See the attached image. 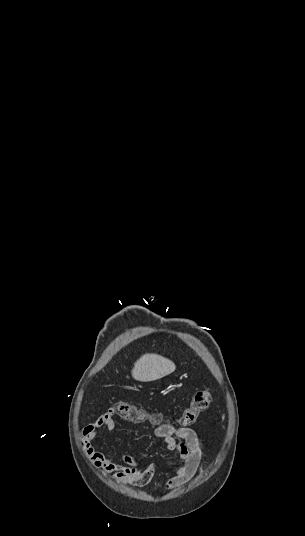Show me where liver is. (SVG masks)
I'll list each match as a JSON object with an SVG mask.
<instances>
[{
	"instance_id": "liver-1",
	"label": "liver",
	"mask_w": 305,
	"mask_h": 536,
	"mask_svg": "<svg viewBox=\"0 0 305 536\" xmlns=\"http://www.w3.org/2000/svg\"><path fill=\"white\" fill-rule=\"evenodd\" d=\"M176 366L158 354H144L134 364L132 378L138 382H154L175 372Z\"/></svg>"
}]
</instances>
